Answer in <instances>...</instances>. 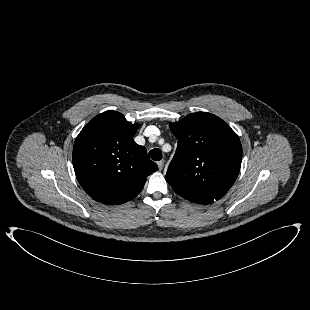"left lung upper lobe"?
<instances>
[{
  "label": "left lung upper lobe",
  "mask_w": 310,
  "mask_h": 310,
  "mask_svg": "<svg viewBox=\"0 0 310 310\" xmlns=\"http://www.w3.org/2000/svg\"><path fill=\"white\" fill-rule=\"evenodd\" d=\"M178 139L166 181L183 198L210 204L223 197L241 167L242 146L237 134L219 117L206 112L171 123Z\"/></svg>",
  "instance_id": "obj_1"
}]
</instances>
